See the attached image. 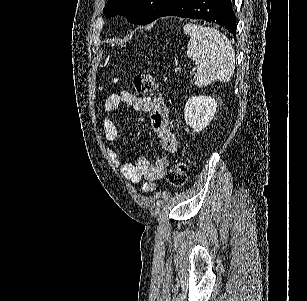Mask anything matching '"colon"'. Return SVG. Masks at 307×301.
I'll return each instance as SVG.
<instances>
[{
    "label": "colon",
    "mask_w": 307,
    "mask_h": 301,
    "mask_svg": "<svg viewBox=\"0 0 307 301\" xmlns=\"http://www.w3.org/2000/svg\"><path fill=\"white\" fill-rule=\"evenodd\" d=\"M134 86L139 93H148L157 89L158 78L151 73H141L134 77ZM188 176V166L184 161H176L167 171L166 178L170 185L179 188L185 185ZM154 185L150 182L144 183L143 190L150 192Z\"/></svg>",
    "instance_id": "obj_1"
}]
</instances>
